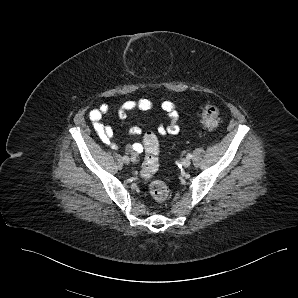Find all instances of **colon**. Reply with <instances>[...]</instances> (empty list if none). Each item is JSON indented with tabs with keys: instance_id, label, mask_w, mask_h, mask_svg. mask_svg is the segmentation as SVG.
<instances>
[{
	"instance_id": "colon-1",
	"label": "colon",
	"mask_w": 298,
	"mask_h": 298,
	"mask_svg": "<svg viewBox=\"0 0 298 298\" xmlns=\"http://www.w3.org/2000/svg\"><path fill=\"white\" fill-rule=\"evenodd\" d=\"M202 125L208 129L215 128L220 122L219 108L214 104H205L198 111ZM145 157L140 168V174L144 179H151L159 168V141L157 136L148 132L143 138ZM151 197L157 202H164L169 195L166 184L162 181H152L149 185Z\"/></svg>"
}]
</instances>
